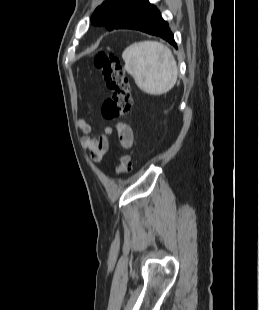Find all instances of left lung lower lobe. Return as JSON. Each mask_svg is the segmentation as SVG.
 I'll return each instance as SVG.
<instances>
[{
    "label": "left lung lower lobe",
    "mask_w": 259,
    "mask_h": 310,
    "mask_svg": "<svg viewBox=\"0 0 259 310\" xmlns=\"http://www.w3.org/2000/svg\"><path fill=\"white\" fill-rule=\"evenodd\" d=\"M114 29H135L159 36L177 48L167 22L159 10L148 2L128 12Z\"/></svg>",
    "instance_id": "obj_1"
}]
</instances>
